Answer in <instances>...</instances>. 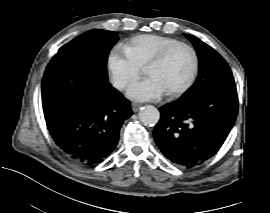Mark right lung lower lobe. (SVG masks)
Masks as SVG:
<instances>
[{"mask_svg":"<svg viewBox=\"0 0 270 213\" xmlns=\"http://www.w3.org/2000/svg\"><path fill=\"white\" fill-rule=\"evenodd\" d=\"M70 78L74 89L68 86ZM42 105L57 146L85 165L101 163L116 148L120 128L133 114L130 102L108 80L85 73L44 74Z\"/></svg>","mask_w":270,"mask_h":213,"instance_id":"right-lung-lower-lobe-1","label":"right lung lower lobe"}]
</instances>
